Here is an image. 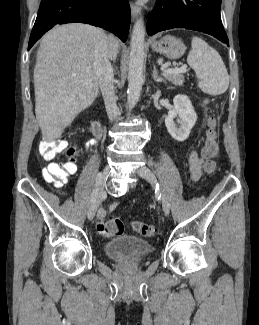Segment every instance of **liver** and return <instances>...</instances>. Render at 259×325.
Listing matches in <instances>:
<instances>
[{
    "label": "liver",
    "instance_id": "1",
    "mask_svg": "<svg viewBox=\"0 0 259 325\" xmlns=\"http://www.w3.org/2000/svg\"><path fill=\"white\" fill-rule=\"evenodd\" d=\"M103 31L91 25L56 26L40 43L34 69L35 114L43 138L51 142L98 95L93 72L95 52ZM110 58L117 57L119 43L108 36Z\"/></svg>",
    "mask_w": 259,
    "mask_h": 325
}]
</instances>
